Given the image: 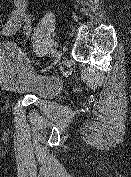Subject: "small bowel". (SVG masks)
Masks as SVG:
<instances>
[{
	"label": "small bowel",
	"instance_id": "1",
	"mask_svg": "<svg viewBox=\"0 0 131 177\" xmlns=\"http://www.w3.org/2000/svg\"><path fill=\"white\" fill-rule=\"evenodd\" d=\"M13 10L6 23L0 28V35L7 37H16L22 28L28 37L32 30V20L27 13L28 0H12Z\"/></svg>",
	"mask_w": 131,
	"mask_h": 177
}]
</instances>
